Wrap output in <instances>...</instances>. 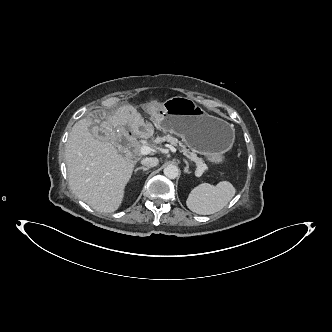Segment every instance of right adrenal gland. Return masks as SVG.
<instances>
[{
	"mask_svg": "<svg viewBox=\"0 0 332 332\" xmlns=\"http://www.w3.org/2000/svg\"><path fill=\"white\" fill-rule=\"evenodd\" d=\"M149 169H150L149 167L141 166V167H138V168L135 169V173H136L138 170L148 171Z\"/></svg>",
	"mask_w": 332,
	"mask_h": 332,
	"instance_id": "obj_1",
	"label": "right adrenal gland"
}]
</instances>
